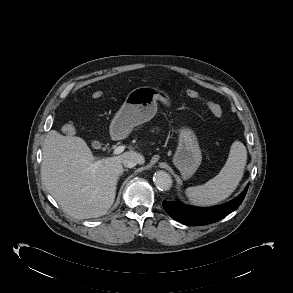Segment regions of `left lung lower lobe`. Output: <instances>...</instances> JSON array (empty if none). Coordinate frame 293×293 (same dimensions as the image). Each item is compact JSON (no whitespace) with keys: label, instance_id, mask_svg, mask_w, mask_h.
<instances>
[{"label":"left lung lower lobe","instance_id":"obj_1","mask_svg":"<svg viewBox=\"0 0 293 293\" xmlns=\"http://www.w3.org/2000/svg\"><path fill=\"white\" fill-rule=\"evenodd\" d=\"M248 186L236 199L212 208H198L186 206L172 201H163L165 211L175 220L186 225L198 226L217 222L236 210L242 203Z\"/></svg>","mask_w":293,"mask_h":293}]
</instances>
